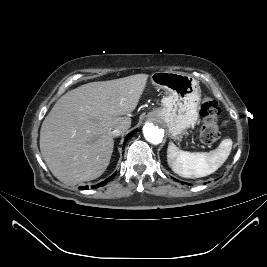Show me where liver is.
<instances>
[{"mask_svg": "<svg viewBox=\"0 0 267 267\" xmlns=\"http://www.w3.org/2000/svg\"><path fill=\"white\" fill-rule=\"evenodd\" d=\"M147 79V74H136L87 83L55 103L41 126L40 151L58 180L75 185L104 173L114 147L111 131L130 127L127 115L136 108Z\"/></svg>", "mask_w": 267, "mask_h": 267, "instance_id": "1", "label": "liver"}]
</instances>
